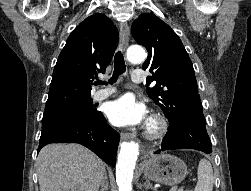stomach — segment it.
Listing matches in <instances>:
<instances>
[{"instance_id":"1","label":"stomach","mask_w":251,"mask_h":191,"mask_svg":"<svg viewBox=\"0 0 251 191\" xmlns=\"http://www.w3.org/2000/svg\"><path fill=\"white\" fill-rule=\"evenodd\" d=\"M144 175L152 181L174 185L179 183L188 173L185 161L170 153H158L150 155L143 163Z\"/></svg>"}]
</instances>
